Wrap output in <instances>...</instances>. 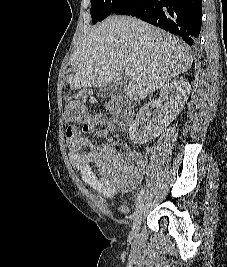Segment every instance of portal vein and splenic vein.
<instances>
[{"mask_svg": "<svg viewBox=\"0 0 227 267\" xmlns=\"http://www.w3.org/2000/svg\"><path fill=\"white\" fill-rule=\"evenodd\" d=\"M124 74L127 76V77H132V76H134V71L132 70V69H129V68H126L125 70H124Z\"/></svg>", "mask_w": 227, "mask_h": 267, "instance_id": "portal-vein-and-splenic-vein-1", "label": "portal vein and splenic vein"}]
</instances>
